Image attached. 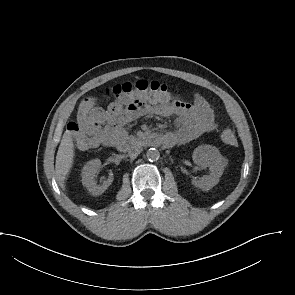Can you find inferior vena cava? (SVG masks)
Listing matches in <instances>:
<instances>
[{"label": "inferior vena cava", "instance_id": "obj_1", "mask_svg": "<svg viewBox=\"0 0 295 295\" xmlns=\"http://www.w3.org/2000/svg\"><path fill=\"white\" fill-rule=\"evenodd\" d=\"M141 152L142 147L139 145H135L129 150L128 155L130 158H136Z\"/></svg>", "mask_w": 295, "mask_h": 295}]
</instances>
